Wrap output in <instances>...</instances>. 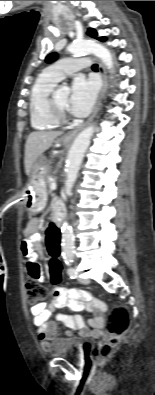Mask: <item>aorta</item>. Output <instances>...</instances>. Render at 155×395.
Listing matches in <instances>:
<instances>
[{"mask_svg": "<svg viewBox=\"0 0 155 395\" xmlns=\"http://www.w3.org/2000/svg\"><path fill=\"white\" fill-rule=\"evenodd\" d=\"M68 51L73 54H94L113 73V58L111 52L103 45L89 39L75 41L68 46ZM68 92L67 87L62 88ZM95 126L91 125L83 129L75 138L67 157L65 191L70 193L78 176L84 154L90 145ZM62 251L64 259L72 260L75 254L74 235L71 226L64 224L62 229Z\"/></svg>", "mask_w": 155, "mask_h": 395, "instance_id": "762f6f07", "label": "aorta"}]
</instances>
